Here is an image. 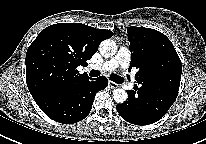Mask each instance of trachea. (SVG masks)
Returning a JSON list of instances; mask_svg holds the SVG:
<instances>
[{
    "label": "trachea",
    "mask_w": 206,
    "mask_h": 144,
    "mask_svg": "<svg viewBox=\"0 0 206 144\" xmlns=\"http://www.w3.org/2000/svg\"><path fill=\"white\" fill-rule=\"evenodd\" d=\"M89 75L91 77H98L100 75V72L98 70H94L92 69L90 72H89ZM112 81L114 82H117L119 80V77L116 76V75H111V78H110Z\"/></svg>",
    "instance_id": "3493384b"
}]
</instances>
